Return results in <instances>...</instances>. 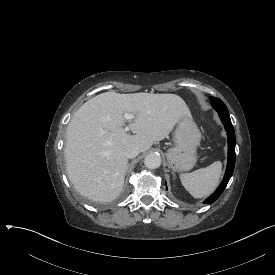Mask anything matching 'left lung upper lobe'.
<instances>
[{
  "label": "left lung upper lobe",
  "instance_id": "5c2ea615",
  "mask_svg": "<svg viewBox=\"0 0 275 275\" xmlns=\"http://www.w3.org/2000/svg\"><path fill=\"white\" fill-rule=\"evenodd\" d=\"M210 100H211L212 106L215 108V110L217 112H222V113L229 114L228 110H227V107L222 102V100H220L219 98H215V97H210Z\"/></svg>",
  "mask_w": 275,
  "mask_h": 275
}]
</instances>
